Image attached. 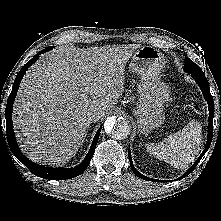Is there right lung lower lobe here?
I'll list each match as a JSON object with an SVG mask.
<instances>
[{
  "label": "right lung lower lobe",
  "mask_w": 221,
  "mask_h": 221,
  "mask_svg": "<svg viewBox=\"0 0 221 221\" xmlns=\"http://www.w3.org/2000/svg\"><path fill=\"white\" fill-rule=\"evenodd\" d=\"M51 48L47 47L40 51L38 54H36L30 61H28L20 70L18 75L16 76V79L14 81L11 94L9 95V98L7 100L6 110H5V117H6V132H7V141L10 147L11 152L36 176L45 178V179H52V180H63V179H69L76 177L80 174H82L86 168L88 167L94 151L95 147L97 145L99 135L101 132L100 127L94 137V140L92 142L91 148L85 157V159L79 164L78 166L74 168H51V167H44L40 166L38 164H35L34 162L30 161L28 158H26L18 148L17 142L15 140L14 136V130H13V123H12V107L13 102L15 99V95L17 93V90L19 88L20 81L22 77L24 76L26 70L35 62L38 60L39 55L44 53L45 51H49Z\"/></svg>",
  "instance_id": "obj_1"
}]
</instances>
